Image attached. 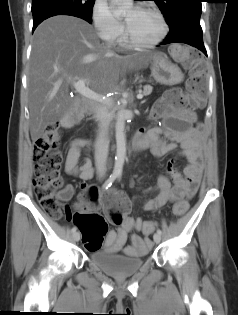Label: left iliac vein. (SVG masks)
Returning <instances> with one entry per match:
<instances>
[{"label":"left iliac vein","instance_id":"1","mask_svg":"<svg viewBox=\"0 0 238 315\" xmlns=\"http://www.w3.org/2000/svg\"><path fill=\"white\" fill-rule=\"evenodd\" d=\"M153 239H154V242L158 244L161 241V235L158 233H155L153 236Z\"/></svg>","mask_w":238,"mask_h":315}]
</instances>
